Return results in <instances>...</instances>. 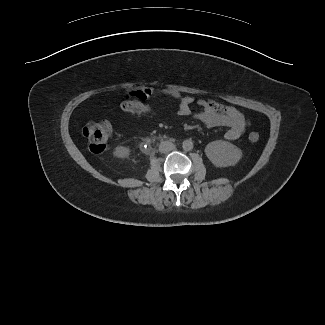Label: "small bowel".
<instances>
[{
    "label": "small bowel",
    "instance_id": "small-bowel-1",
    "mask_svg": "<svg viewBox=\"0 0 325 325\" xmlns=\"http://www.w3.org/2000/svg\"><path fill=\"white\" fill-rule=\"evenodd\" d=\"M155 96H169L177 101L176 113L179 117H187L192 114L194 99L190 95L181 93L176 88L156 90L151 87H144L130 93V96L120 95L117 98V105L123 109H131L132 114L154 113L156 108L149 103V99ZM199 108L193 117L206 127L224 126L228 130L225 138L230 141L239 139L246 130V120L241 111L230 105H223L211 99L197 101Z\"/></svg>",
    "mask_w": 325,
    "mask_h": 325
}]
</instances>
